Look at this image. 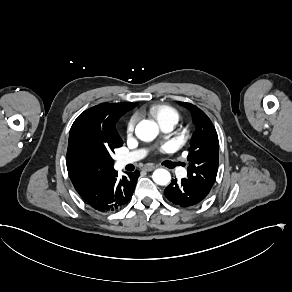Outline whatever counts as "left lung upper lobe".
<instances>
[{
    "label": "left lung upper lobe",
    "instance_id": "1",
    "mask_svg": "<svg viewBox=\"0 0 292 292\" xmlns=\"http://www.w3.org/2000/svg\"><path fill=\"white\" fill-rule=\"evenodd\" d=\"M187 108L193 118L195 131L188 148L187 181L211 190L215 183L219 163V141L209 117L197 106L178 102Z\"/></svg>",
    "mask_w": 292,
    "mask_h": 292
}]
</instances>
